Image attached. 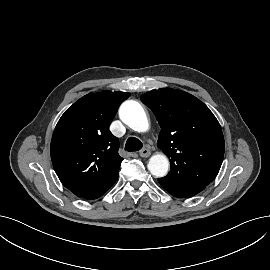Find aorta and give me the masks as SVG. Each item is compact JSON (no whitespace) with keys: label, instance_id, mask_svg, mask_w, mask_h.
<instances>
[{"label":"aorta","instance_id":"762f6f07","mask_svg":"<svg viewBox=\"0 0 270 270\" xmlns=\"http://www.w3.org/2000/svg\"><path fill=\"white\" fill-rule=\"evenodd\" d=\"M123 123L138 132H146L149 122L143 107L134 100L125 101L119 109ZM169 161L164 154L153 155L149 159L148 170L155 177H164L168 173Z\"/></svg>","mask_w":270,"mask_h":270}]
</instances>
